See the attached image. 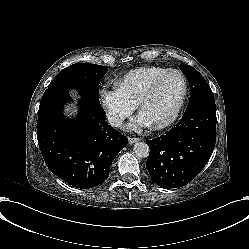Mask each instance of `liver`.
<instances>
[{
  "instance_id": "6515ba94",
  "label": "liver",
  "mask_w": 249,
  "mask_h": 249,
  "mask_svg": "<svg viewBox=\"0 0 249 249\" xmlns=\"http://www.w3.org/2000/svg\"><path fill=\"white\" fill-rule=\"evenodd\" d=\"M70 95L72 96L73 100L75 101L76 98L80 97V93L77 88L70 89L69 91ZM64 114L67 115L68 117H75L77 114V110L75 109L74 105H65L64 106Z\"/></svg>"
}]
</instances>
